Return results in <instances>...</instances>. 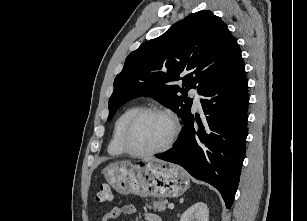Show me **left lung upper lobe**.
I'll list each match as a JSON object with an SVG mask.
<instances>
[{"mask_svg":"<svg viewBox=\"0 0 307 221\" xmlns=\"http://www.w3.org/2000/svg\"><path fill=\"white\" fill-rule=\"evenodd\" d=\"M239 54L236 39L219 17L208 10L191 14L127 56L114 80L108 120L130 99L151 96L185 122L192 105L187 90L197 85L202 95ZM179 79L183 80L182 87L176 84Z\"/></svg>","mask_w":307,"mask_h":221,"instance_id":"left-lung-upper-lobe-1","label":"left lung upper lobe"}]
</instances>
